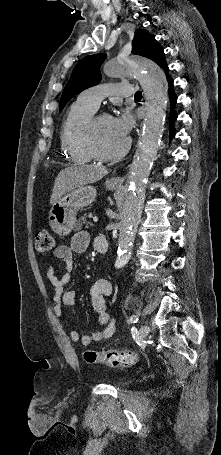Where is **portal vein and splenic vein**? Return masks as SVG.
I'll return each instance as SVG.
<instances>
[{"instance_id": "18ae733b", "label": "portal vein and splenic vein", "mask_w": 221, "mask_h": 455, "mask_svg": "<svg viewBox=\"0 0 221 455\" xmlns=\"http://www.w3.org/2000/svg\"><path fill=\"white\" fill-rule=\"evenodd\" d=\"M93 221H94V222H98V217H97V216H94V217H93Z\"/></svg>"}]
</instances>
